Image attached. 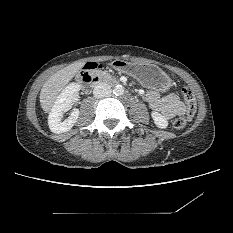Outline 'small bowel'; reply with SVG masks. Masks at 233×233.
I'll list each match as a JSON object with an SVG mask.
<instances>
[{
    "label": "small bowel",
    "mask_w": 233,
    "mask_h": 233,
    "mask_svg": "<svg viewBox=\"0 0 233 233\" xmlns=\"http://www.w3.org/2000/svg\"><path fill=\"white\" fill-rule=\"evenodd\" d=\"M143 98L153 110L161 112L165 119L186 112L185 103L173 93L161 97L158 91L150 90L144 94Z\"/></svg>",
    "instance_id": "small-bowel-1"
}]
</instances>
